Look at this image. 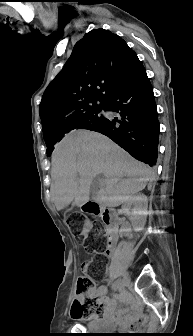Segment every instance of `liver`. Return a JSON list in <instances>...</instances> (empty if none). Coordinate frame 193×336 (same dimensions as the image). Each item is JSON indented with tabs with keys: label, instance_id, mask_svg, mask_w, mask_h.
Masks as SVG:
<instances>
[{
	"label": "liver",
	"instance_id": "liver-1",
	"mask_svg": "<svg viewBox=\"0 0 193 336\" xmlns=\"http://www.w3.org/2000/svg\"><path fill=\"white\" fill-rule=\"evenodd\" d=\"M103 175L93 200L116 207L142 191L153 178L152 169L134 159L108 137L76 131L57 144L52 154L51 176L57 210L71 203L81 207L90 200L94 179Z\"/></svg>",
	"mask_w": 193,
	"mask_h": 336
}]
</instances>
